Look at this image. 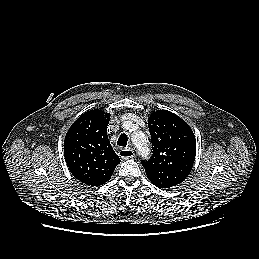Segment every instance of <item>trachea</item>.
<instances>
[{"mask_svg": "<svg viewBox=\"0 0 259 259\" xmlns=\"http://www.w3.org/2000/svg\"><path fill=\"white\" fill-rule=\"evenodd\" d=\"M128 141V137L126 134H121L118 138L117 144L122 147H126Z\"/></svg>", "mask_w": 259, "mask_h": 259, "instance_id": "obj_1", "label": "trachea"}]
</instances>
